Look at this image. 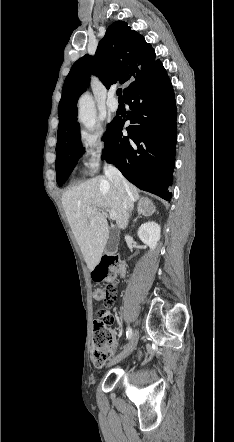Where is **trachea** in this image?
Instances as JSON below:
<instances>
[{"label": "trachea", "instance_id": "1", "mask_svg": "<svg viewBox=\"0 0 234 442\" xmlns=\"http://www.w3.org/2000/svg\"><path fill=\"white\" fill-rule=\"evenodd\" d=\"M117 95L119 97V100H122V89L121 88L117 90Z\"/></svg>", "mask_w": 234, "mask_h": 442}]
</instances>
